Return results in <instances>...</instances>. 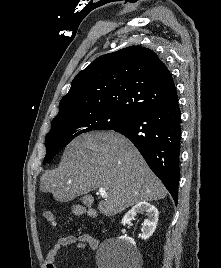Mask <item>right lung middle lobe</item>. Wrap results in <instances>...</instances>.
Wrapping results in <instances>:
<instances>
[{
  "label": "right lung middle lobe",
  "instance_id": "dd1d6c3e",
  "mask_svg": "<svg viewBox=\"0 0 221 268\" xmlns=\"http://www.w3.org/2000/svg\"><path fill=\"white\" fill-rule=\"evenodd\" d=\"M130 119L125 114L110 110H93L56 116L52 120L51 131L46 136L47 153L43 163L51 161L76 136L92 130H112Z\"/></svg>",
  "mask_w": 221,
  "mask_h": 268
}]
</instances>
